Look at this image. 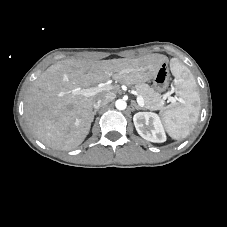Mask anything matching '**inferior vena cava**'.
<instances>
[{
	"label": "inferior vena cava",
	"mask_w": 227,
	"mask_h": 227,
	"mask_svg": "<svg viewBox=\"0 0 227 227\" xmlns=\"http://www.w3.org/2000/svg\"><path fill=\"white\" fill-rule=\"evenodd\" d=\"M114 99V95L112 93H107L103 97L97 99V101L93 104L95 109L100 108L103 105L108 104Z\"/></svg>",
	"instance_id": "inferior-vena-cava-1"
}]
</instances>
